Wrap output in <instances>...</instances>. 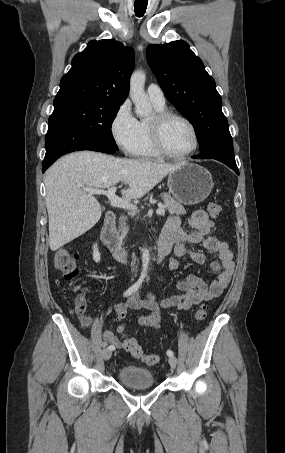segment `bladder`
Returning a JSON list of instances; mask_svg holds the SVG:
<instances>
[{
	"instance_id": "1",
	"label": "bladder",
	"mask_w": 285,
	"mask_h": 453,
	"mask_svg": "<svg viewBox=\"0 0 285 453\" xmlns=\"http://www.w3.org/2000/svg\"><path fill=\"white\" fill-rule=\"evenodd\" d=\"M120 383L132 388H147L155 385L156 380L151 370L136 365H124L117 373Z\"/></svg>"
}]
</instances>
